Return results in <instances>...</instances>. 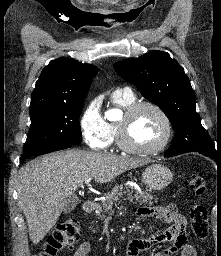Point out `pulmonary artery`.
<instances>
[{"label":"pulmonary artery","mask_w":221,"mask_h":256,"mask_svg":"<svg viewBox=\"0 0 221 256\" xmlns=\"http://www.w3.org/2000/svg\"><path fill=\"white\" fill-rule=\"evenodd\" d=\"M118 93H122V94H126V95H131L132 91L129 88H123V89L115 90L114 94H118Z\"/></svg>","instance_id":"1"}]
</instances>
